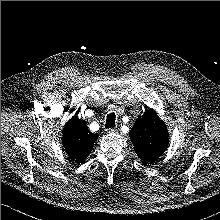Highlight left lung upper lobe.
<instances>
[{"label":"left lung upper lobe","mask_w":220,"mask_h":220,"mask_svg":"<svg viewBox=\"0 0 220 220\" xmlns=\"http://www.w3.org/2000/svg\"><path fill=\"white\" fill-rule=\"evenodd\" d=\"M134 149L139 158L152 163L168 147L169 134L166 125L153 109H148L138 117L129 132Z\"/></svg>","instance_id":"1"}]
</instances>
